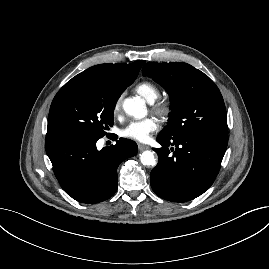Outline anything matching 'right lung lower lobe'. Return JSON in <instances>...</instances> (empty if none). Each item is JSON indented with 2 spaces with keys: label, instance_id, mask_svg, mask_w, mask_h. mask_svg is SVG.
I'll use <instances>...</instances> for the list:
<instances>
[{
  "label": "right lung lower lobe",
  "instance_id": "right-lung-lower-lobe-1",
  "mask_svg": "<svg viewBox=\"0 0 269 269\" xmlns=\"http://www.w3.org/2000/svg\"><path fill=\"white\" fill-rule=\"evenodd\" d=\"M97 140L62 136L45 143L60 186L80 203L94 204L112 197L118 187V165L138 152L134 141L123 138L98 151Z\"/></svg>",
  "mask_w": 269,
  "mask_h": 269
}]
</instances>
